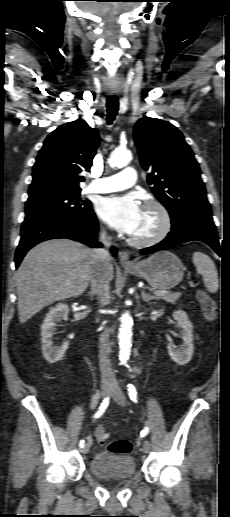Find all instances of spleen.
<instances>
[{
    "label": "spleen",
    "instance_id": "obj_1",
    "mask_svg": "<svg viewBox=\"0 0 230 517\" xmlns=\"http://www.w3.org/2000/svg\"><path fill=\"white\" fill-rule=\"evenodd\" d=\"M193 263L199 274L202 275L204 285L210 293L218 290V272L213 260L202 252L193 254Z\"/></svg>",
    "mask_w": 230,
    "mask_h": 517
}]
</instances>
